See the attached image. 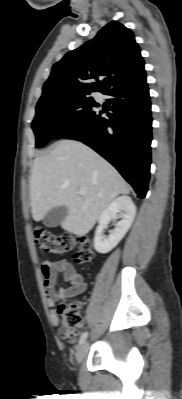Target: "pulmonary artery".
<instances>
[{"label":"pulmonary artery","mask_w":182,"mask_h":399,"mask_svg":"<svg viewBox=\"0 0 182 399\" xmlns=\"http://www.w3.org/2000/svg\"><path fill=\"white\" fill-rule=\"evenodd\" d=\"M97 97L101 98L102 97L101 93H97Z\"/></svg>","instance_id":"obj_1"}]
</instances>
